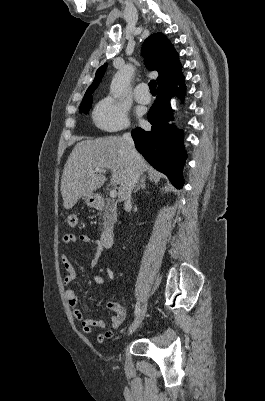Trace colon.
I'll list each match as a JSON object with an SVG mask.
<instances>
[{
    "instance_id": "colon-1",
    "label": "colon",
    "mask_w": 265,
    "mask_h": 401,
    "mask_svg": "<svg viewBox=\"0 0 265 401\" xmlns=\"http://www.w3.org/2000/svg\"><path fill=\"white\" fill-rule=\"evenodd\" d=\"M77 221H78V218H77L76 214L71 213L67 216V224L69 227H71V228L75 227L77 225Z\"/></svg>"
}]
</instances>
